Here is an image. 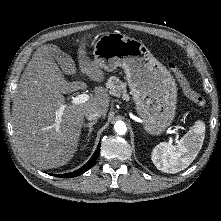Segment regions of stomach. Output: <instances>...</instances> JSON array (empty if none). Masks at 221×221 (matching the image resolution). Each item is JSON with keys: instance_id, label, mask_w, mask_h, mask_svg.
Masks as SVG:
<instances>
[{"instance_id": "1", "label": "stomach", "mask_w": 221, "mask_h": 221, "mask_svg": "<svg viewBox=\"0 0 221 221\" xmlns=\"http://www.w3.org/2000/svg\"><path fill=\"white\" fill-rule=\"evenodd\" d=\"M94 60L111 72L121 67L135 109L148 133L159 135L176 114L177 85L170 71L139 40L121 32L101 36L94 45Z\"/></svg>"}]
</instances>
